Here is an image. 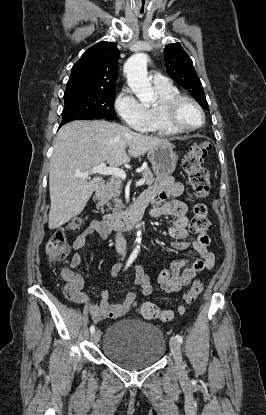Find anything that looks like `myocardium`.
Wrapping results in <instances>:
<instances>
[{"mask_svg": "<svg viewBox=\"0 0 266 415\" xmlns=\"http://www.w3.org/2000/svg\"><path fill=\"white\" fill-rule=\"evenodd\" d=\"M189 102L200 112L202 121L199 125L188 126L183 124L178 117V111L182 103ZM159 107L165 122L173 129L180 132L195 131L201 128L206 122V115L202 106L192 97L184 94L170 96L159 103Z\"/></svg>", "mask_w": 266, "mask_h": 415, "instance_id": "1", "label": "myocardium"}]
</instances>
